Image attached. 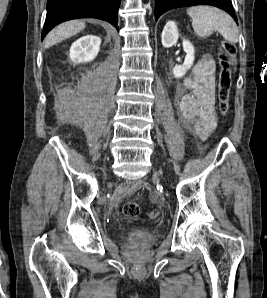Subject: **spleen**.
<instances>
[{
  "label": "spleen",
  "instance_id": "spleen-1",
  "mask_svg": "<svg viewBox=\"0 0 267 298\" xmlns=\"http://www.w3.org/2000/svg\"><path fill=\"white\" fill-rule=\"evenodd\" d=\"M194 32L200 37H208L213 31L219 32L230 43L238 42V28L226 12L211 6H194L188 10Z\"/></svg>",
  "mask_w": 267,
  "mask_h": 298
}]
</instances>
